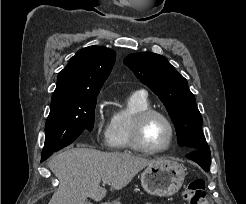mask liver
<instances>
[{
	"instance_id": "liver-1",
	"label": "liver",
	"mask_w": 246,
	"mask_h": 204,
	"mask_svg": "<svg viewBox=\"0 0 246 204\" xmlns=\"http://www.w3.org/2000/svg\"><path fill=\"white\" fill-rule=\"evenodd\" d=\"M157 161L130 153L68 149L49 162V168L60 184L48 204H85L88 197L101 201L107 194V190L100 186L101 180L110 179L111 187L120 190L138 172Z\"/></svg>"
}]
</instances>
